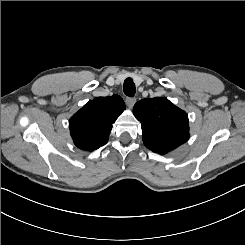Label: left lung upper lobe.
I'll list each match as a JSON object with an SVG mask.
<instances>
[{
	"mask_svg": "<svg viewBox=\"0 0 245 245\" xmlns=\"http://www.w3.org/2000/svg\"><path fill=\"white\" fill-rule=\"evenodd\" d=\"M133 113L142 124L144 145L155 153L166 154L189 138L188 115L167 98L142 99Z\"/></svg>",
	"mask_w": 245,
	"mask_h": 245,
	"instance_id": "5c2ea615",
	"label": "left lung upper lobe"
}]
</instances>
